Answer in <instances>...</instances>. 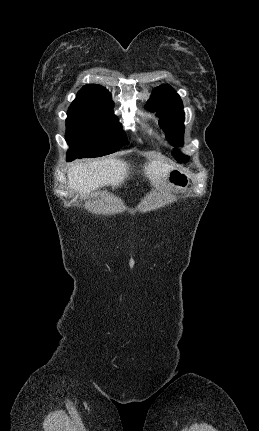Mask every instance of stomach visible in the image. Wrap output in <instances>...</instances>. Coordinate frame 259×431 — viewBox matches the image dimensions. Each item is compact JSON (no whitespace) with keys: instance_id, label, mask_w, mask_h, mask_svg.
Returning a JSON list of instances; mask_svg holds the SVG:
<instances>
[{"instance_id":"1","label":"stomach","mask_w":259,"mask_h":431,"mask_svg":"<svg viewBox=\"0 0 259 431\" xmlns=\"http://www.w3.org/2000/svg\"><path fill=\"white\" fill-rule=\"evenodd\" d=\"M189 185V177L188 175L178 169H173L169 172L167 177V186L169 188H174L177 190H184Z\"/></svg>"}]
</instances>
